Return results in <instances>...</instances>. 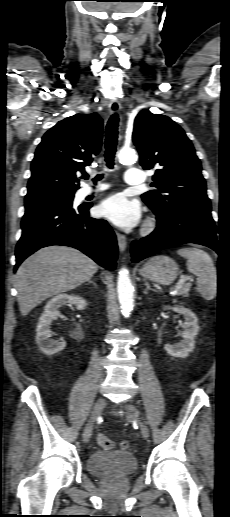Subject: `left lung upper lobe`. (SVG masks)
Masks as SVG:
<instances>
[{
	"mask_svg": "<svg viewBox=\"0 0 230 517\" xmlns=\"http://www.w3.org/2000/svg\"><path fill=\"white\" fill-rule=\"evenodd\" d=\"M132 139L144 169L155 168L142 200L156 215L191 205H210L201 163L184 130L169 117L142 110L134 122Z\"/></svg>",
	"mask_w": 230,
	"mask_h": 517,
	"instance_id": "5c2ea615",
	"label": "left lung upper lobe"
}]
</instances>
